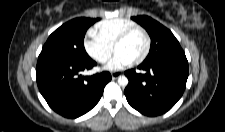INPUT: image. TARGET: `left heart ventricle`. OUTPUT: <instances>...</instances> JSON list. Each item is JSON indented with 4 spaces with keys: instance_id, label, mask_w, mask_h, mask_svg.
I'll return each mask as SVG.
<instances>
[{
    "instance_id": "left-heart-ventricle-1",
    "label": "left heart ventricle",
    "mask_w": 225,
    "mask_h": 132,
    "mask_svg": "<svg viewBox=\"0 0 225 132\" xmlns=\"http://www.w3.org/2000/svg\"><path fill=\"white\" fill-rule=\"evenodd\" d=\"M146 47V39L140 32L133 33L125 42L119 45L116 52H121L132 61L142 55Z\"/></svg>"
}]
</instances>
